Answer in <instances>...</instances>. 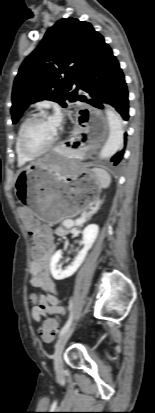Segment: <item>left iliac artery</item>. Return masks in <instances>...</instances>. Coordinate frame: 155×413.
<instances>
[{
	"instance_id": "44dca946",
	"label": "left iliac artery",
	"mask_w": 155,
	"mask_h": 413,
	"mask_svg": "<svg viewBox=\"0 0 155 413\" xmlns=\"http://www.w3.org/2000/svg\"><path fill=\"white\" fill-rule=\"evenodd\" d=\"M71 306H72V301H70V307ZM72 318H73V315L71 313L70 316H69V319L67 320L65 325L62 327L59 335H62L64 332H66L69 329V327L71 326V323H72Z\"/></svg>"
}]
</instances>
